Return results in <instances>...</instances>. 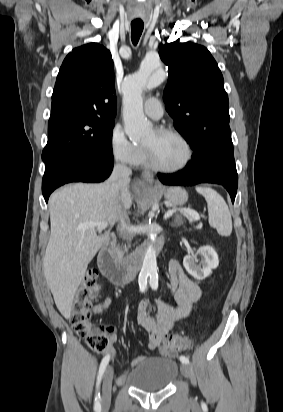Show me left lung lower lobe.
Masks as SVG:
<instances>
[{"label": "left lung lower lobe", "mask_w": 283, "mask_h": 412, "mask_svg": "<svg viewBox=\"0 0 283 412\" xmlns=\"http://www.w3.org/2000/svg\"><path fill=\"white\" fill-rule=\"evenodd\" d=\"M230 165L231 162L226 157L199 148L182 171L174 174L159 173L158 178L166 185L220 184L227 189L234 202L238 184L231 179Z\"/></svg>", "instance_id": "0a47b994"}]
</instances>
